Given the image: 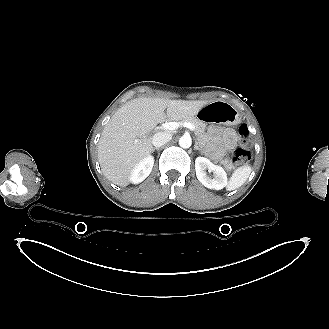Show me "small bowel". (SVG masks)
Returning <instances> with one entry per match:
<instances>
[{
    "label": "small bowel",
    "mask_w": 329,
    "mask_h": 329,
    "mask_svg": "<svg viewBox=\"0 0 329 329\" xmlns=\"http://www.w3.org/2000/svg\"><path fill=\"white\" fill-rule=\"evenodd\" d=\"M209 134L212 149L217 157L225 155L237 145V135L234 129L212 126Z\"/></svg>",
    "instance_id": "obj_1"
}]
</instances>
